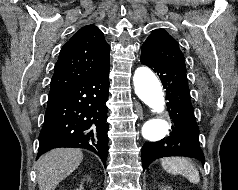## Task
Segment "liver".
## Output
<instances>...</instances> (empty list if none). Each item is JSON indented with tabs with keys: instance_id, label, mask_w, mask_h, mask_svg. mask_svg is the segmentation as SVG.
<instances>
[{
	"instance_id": "liver-1",
	"label": "liver",
	"mask_w": 238,
	"mask_h": 190,
	"mask_svg": "<svg viewBox=\"0 0 238 190\" xmlns=\"http://www.w3.org/2000/svg\"><path fill=\"white\" fill-rule=\"evenodd\" d=\"M83 159L80 149L57 148L40 157L36 164L39 190H54L78 168Z\"/></svg>"
}]
</instances>
